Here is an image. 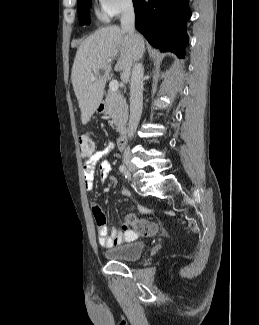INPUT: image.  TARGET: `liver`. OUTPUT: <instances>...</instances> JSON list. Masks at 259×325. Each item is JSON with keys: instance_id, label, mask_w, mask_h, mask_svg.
Masks as SVG:
<instances>
[{"instance_id": "obj_1", "label": "liver", "mask_w": 259, "mask_h": 325, "mask_svg": "<svg viewBox=\"0 0 259 325\" xmlns=\"http://www.w3.org/2000/svg\"><path fill=\"white\" fill-rule=\"evenodd\" d=\"M144 40L140 35L130 37L117 26H107L87 37L78 47L71 80L86 125L102 102L104 88L111 71V61L119 55L115 71H122L121 80L128 83L131 68L143 55ZM100 70L104 74H100ZM96 79L92 81V77Z\"/></svg>"}]
</instances>
